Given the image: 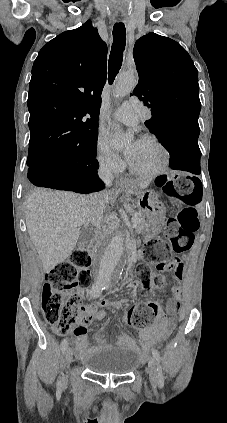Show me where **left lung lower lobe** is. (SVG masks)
<instances>
[{
	"instance_id": "1",
	"label": "left lung lower lobe",
	"mask_w": 227,
	"mask_h": 423,
	"mask_svg": "<svg viewBox=\"0 0 227 423\" xmlns=\"http://www.w3.org/2000/svg\"><path fill=\"white\" fill-rule=\"evenodd\" d=\"M199 131V128H191L176 136L159 139L170 153V166L172 169L200 174ZM194 178L191 179L193 180Z\"/></svg>"
}]
</instances>
